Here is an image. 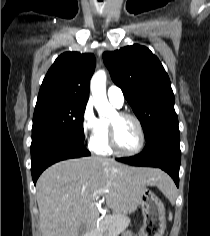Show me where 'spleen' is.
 Returning <instances> with one entry per match:
<instances>
[{
    "label": "spleen",
    "instance_id": "3e777b00",
    "mask_svg": "<svg viewBox=\"0 0 210 236\" xmlns=\"http://www.w3.org/2000/svg\"><path fill=\"white\" fill-rule=\"evenodd\" d=\"M173 184H172V181H171V183H168V184H166L165 185V191H166V194L167 195H171L172 193H173Z\"/></svg>",
    "mask_w": 210,
    "mask_h": 236
}]
</instances>
